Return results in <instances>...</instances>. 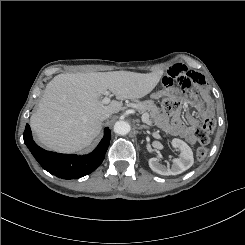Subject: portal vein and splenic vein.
Masks as SVG:
<instances>
[{
    "mask_svg": "<svg viewBox=\"0 0 245 245\" xmlns=\"http://www.w3.org/2000/svg\"><path fill=\"white\" fill-rule=\"evenodd\" d=\"M104 94L105 95H109L110 93H109V91H105ZM102 103L103 104H109L110 103V98L104 97L102 99ZM132 107L135 108V106H132ZM141 119H142L143 123H147V124L149 123V115L147 113L143 114Z\"/></svg>",
    "mask_w": 245,
    "mask_h": 245,
    "instance_id": "1",
    "label": "portal vein and splenic vein"
}]
</instances>
